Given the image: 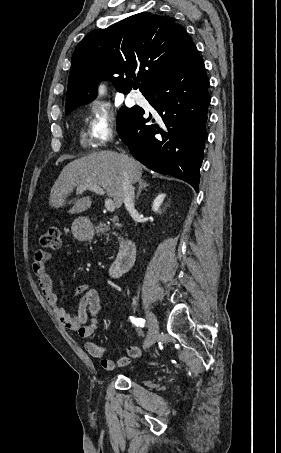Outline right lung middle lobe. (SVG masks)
Here are the masks:
<instances>
[{"label":"right lung middle lobe","instance_id":"right-lung-middle-lobe-1","mask_svg":"<svg viewBox=\"0 0 281 453\" xmlns=\"http://www.w3.org/2000/svg\"><path fill=\"white\" fill-rule=\"evenodd\" d=\"M71 111L66 112V115H68Z\"/></svg>","mask_w":281,"mask_h":453}]
</instances>
